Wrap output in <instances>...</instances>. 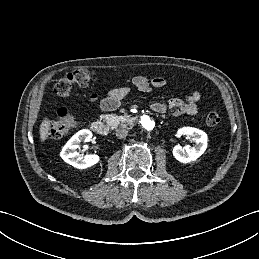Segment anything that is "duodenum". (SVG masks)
<instances>
[{
	"label": "duodenum",
	"mask_w": 259,
	"mask_h": 259,
	"mask_svg": "<svg viewBox=\"0 0 259 259\" xmlns=\"http://www.w3.org/2000/svg\"><path fill=\"white\" fill-rule=\"evenodd\" d=\"M139 119H140V117H138V116L132 117V118L128 119L127 124L132 125V124L138 122ZM91 128L96 134H98L100 136H106L109 133V128H108L107 124L101 119H96V120L92 121Z\"/></svg>",
	"instance_id": "duodenum-1"
}]
</instances>
